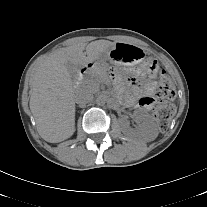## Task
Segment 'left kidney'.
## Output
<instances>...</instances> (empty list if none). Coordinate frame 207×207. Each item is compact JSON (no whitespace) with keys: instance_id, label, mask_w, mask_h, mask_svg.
I'll return each mask as SVG.
<instances>
[{"instance_id":"1","label":"left kidney","mask_w":207,"mask_h":207,"mask_svg":"<svg viewBox=\"0 0 207 207\" xmlns=\"http://www.w3.org/2000/svg\"><path fill=\"white\" fill-rule=\"evenodd\" d=\"M134 117L139 122V131L138 133L144 141H153L157 135V127L152 119V117L144 112L136 111ZM122 131L126 135H133L134 131L129 127L125 119L121 121Z\"/></svg>"}]
</instances>
